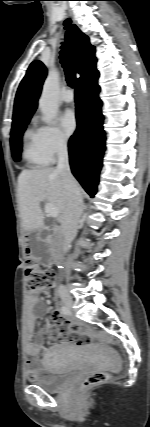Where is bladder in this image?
I'll list each match as a JSON object with an SVG mask.
<instances>
[{"mask_svg": "<svg viewBox=\"0 0 150 427\" xmlns=\"http://www.w3.org/2000/svg\"><path fill=\"white\" fill-rule=\"evenodd\" d=\"M44 370V377L34 384L47 392H56L62 389L70 381L74 372L72 366L57 364L48 360Z\"/></svg>", "mask_w": 150, "mask_h": 427, "instance_id": "obj_1", "label": "bladder"}]
</instances>
